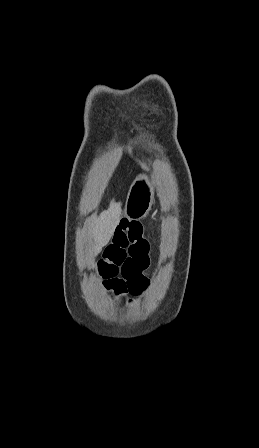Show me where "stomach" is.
<instances>
[{
	"instance_id": "stomach-1",
	"label": "stomach",
	"mask_w": 259,
	"mask_h": 448,
	"mask_svg": "<svg viewBox=\"0 0 259 448\" xmlns=\"http://www.w3.org/2000/svg\"><path fill=\"white\" fill-rule=\"evenodd\" d=\"M154 200V186L148 176L140 174L132 182L125 206V214L129 220H141L149 214Z\"/></svg>"
}]
</instances>
